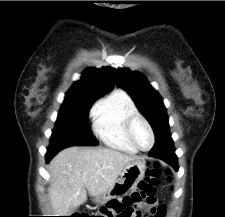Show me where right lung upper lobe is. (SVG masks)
Wrapping results in <instances>:
<instances>
[{"label":"right lung upper lobe","instance_id":"cb5924a9","mask_svg":"<svg viewBox=\"0 0 225 217\" xmlns=\"http://www.w3.org/2000/svg\"><path fill=\"white\" fill-rule=\"evenodd\" d=\"M115 69L102 67L89 68L66 93V97L91 96L100 97L112 90L115 84Z\"/></svg>","mask_w":225,"mask_h":217}]
</instances>
